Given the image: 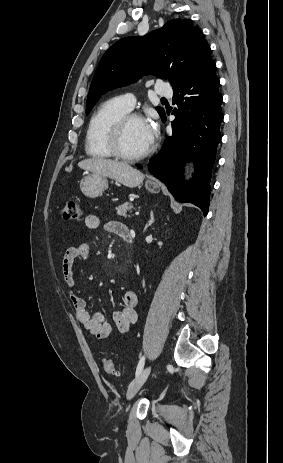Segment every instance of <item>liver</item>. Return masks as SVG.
<instances>
[{
  "label": "liver",
  "instance_id": "liver-1",
  "mask_svg": "<svg viewBox=\"0 0 283 463\" xmlns=\"http://www.w3.org/2000/svg\"><path fill=\"white\" fill-rule=\"evenodd\" d=\"M78 166L95 175L114 179L129 188L140 185L145 177L143 173L134 169L128 163L111 159L89 158L80 161Z\"/></svg>",
  "mask_w": 283,
  "mask_h": 463
}]
</instances>
